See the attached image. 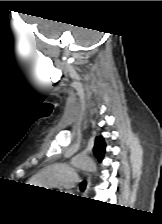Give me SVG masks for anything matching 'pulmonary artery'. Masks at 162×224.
I'll return each instance as SVG.
<instances>
[{
    "label": "pulmonary artery",
    "mask_w": 162,
    "mask_h": 224,
    "mask_svg": "<svg viewBox=\"0 0 162 224\" xmlns=\"http://www.w3.org/2000/svg\"><path fill=\"white\" fill-rule=\"evenodd\" d=\"M41 180L56 187H74L78 184V175L69 165H58L43 170Z\"/></svg>",
    "instance_id": "1"
}]
</instances>
